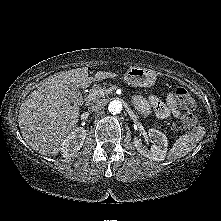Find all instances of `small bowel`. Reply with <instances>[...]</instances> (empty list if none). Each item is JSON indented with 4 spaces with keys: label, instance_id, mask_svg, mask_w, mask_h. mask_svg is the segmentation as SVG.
Masks as SVG:
<instances>
[{
    "label": "small bowel",
    "instance_id": "1",
    "mask_svg": "<svg viewBox=\"0 0 221 221\" xmlns=\"http://www.w3.org/2000/svg\"><path fill=\"white\" fill-rule=\"evenodd\" d=\"M135 103L140 112L143 114L147 112H154V114L161 119L168 118L169 116H180V111L176 106L174 96L172 94L167 96L165 102L154 96L148 99L138 96L135 99Z\"/></svg>",
    "mask_w": 221,
    "mask_h": 221
}]
</instances>
